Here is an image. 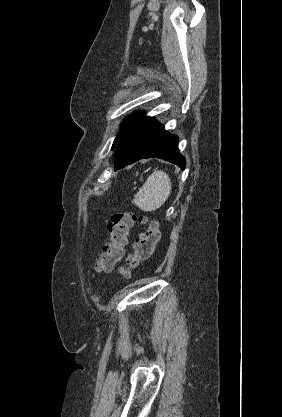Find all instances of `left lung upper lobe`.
I'll list each match as a JSON object with an SVG mask.
<instances>
[{"label": "left lung upper lobe", "instance_id": "1", "mask_svg": "<svg viewBox=\"0 0 282 417\" xmlns=\"http://www.w3.org/2000/svg\"><path fill=\"white\" fill-rule=\"evenodd\" d=\"M123 123H125V121H124ZM121 132H122V131H121ZM121 132L117 135V137H116V139H115V141H114V143H113V146H112V149H111V150H114V147L117 145L118 140H119V138H120V136H121Z\"/></svg>", "mask_w": 282, "mask_h": 417}]
</instances>
